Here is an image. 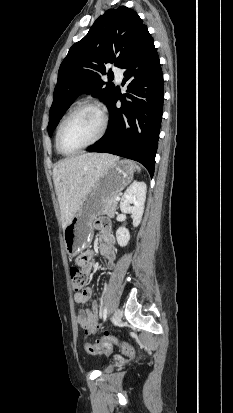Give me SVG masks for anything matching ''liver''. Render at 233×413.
I'll return each mask as SVG.
<instances>
[{
	"label": "liver",
	"instance_id": "obj_1",
	"mask_svg": "<svg viewBox=\"0 0 233 413\" xmlns=\"http://www.w3.org/2000/svg\"><path fill=\"white\" fill-rule=\"evenodd\" d=\"M117 160L109 154L87 153L60 160L54 165L53 180L63 229L77 213L101 173Z\"/></svg>",
	"mask_w": 233,
	"mask_h": 413
}]
</instances>
